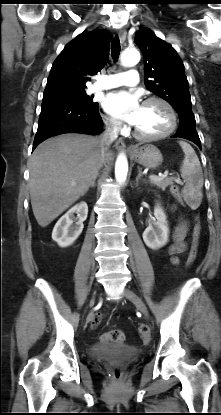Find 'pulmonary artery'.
Here are the masks:
<instances>
[{"mask_svg": "<svg viewBox=\"0 0 221 415\" xmlns=\"http://www.w3.org/2000/svg\"><path fill=\"white\" fill-rule=\"evenodd\" d=\"M139 82L138 72L131 69L127 72L102 76L92 87V91L107 90L120 86H135Z\"/></svg>", "mask_w": 221, "mask_h": 415, "instance_id": "e3ab8cb5", "label": "pulmonary artery"}]
</instances>
